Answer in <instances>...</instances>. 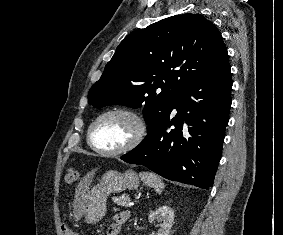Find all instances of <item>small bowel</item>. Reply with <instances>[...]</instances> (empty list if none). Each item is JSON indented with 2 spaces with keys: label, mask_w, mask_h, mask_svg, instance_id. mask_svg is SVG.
Returning a JSON list of instances; mask_svg holds the SVG:
<instances>
[{
  "label": "small bowel",
  "mask_w": 283,
  "mask_h": 235,
  "mask_svg": "<svg viewBox=\"0 0 283 235\" xmlns=\"http://www.w3.org/2000/svg\"><path fill=\"white\" fill-rule=\"evenodd\" d=\"M130 213L128 211H122L117 213L114 216L113 222L107 228V235H119L122 226L129 219ZM71 235H77L75 233H71Z\"/></svg>",
  "instance_id": "1"
}]
</instances>
